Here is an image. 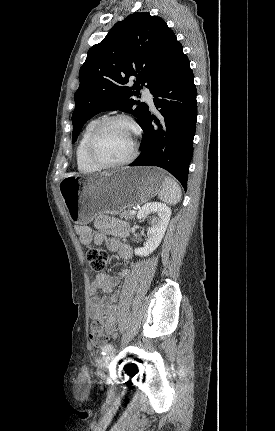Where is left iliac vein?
<instances>
[{"mask_svg":"<svg viewBox=\"0 0 275 431\" xmlns=\"http://www.w3.org/2000/svg\"><path fill=\"white\" fill-rule=\"evenodd\" d=\"M114 352L107 353L104 355L99 363H98V375L103 377L105 374V371L108 369L111 361L113 360Z\"/></svg>","mask_w":275,"mask_h":431,"instance_id":"1","label":"left iliac vein"}]
</instances>
